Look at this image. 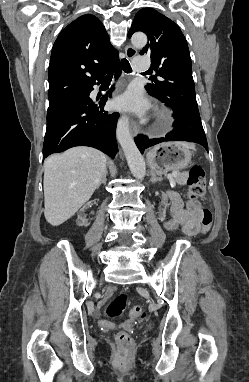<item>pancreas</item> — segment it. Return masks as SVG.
Instances as JSON below:
<instances>
[{"instance_id": "obj_1", "label": "pancreas", "mask_w": 249, "mask_h": 382, "mask_svg": "<svg viewBox=\"0 0 249 382\" xmlns=\"http://www.w3.org/2000/svg\"><path fill=\"white\" fill-rule=\"evenodd\" d=\"M187 181V175L186 174H178L177 177L174 179V182L178 185H184Z\"/></svg>"}]
</instances>
